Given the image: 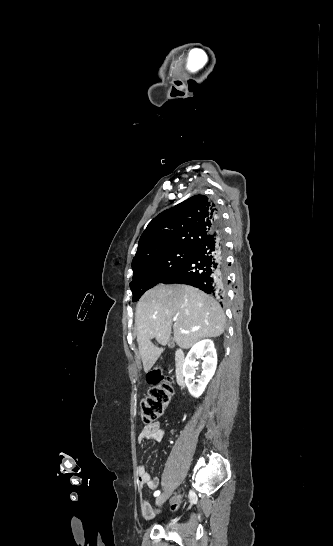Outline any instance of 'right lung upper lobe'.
<instances>
[{
  "mask_svg": "<svg viewBox=\"0 0 333 546\" xmlns=\"http://www.w3.org/2000/svg\"><path fill=\"white\" fill-rule=\"evenodd\" d=\"M216 206L205 195H195L157 215L138 243L132 269L166 250L193 247L216 226Z\"/></svg>",
  "mask_w": 333,
  "mask_h": 546,
  "instance_id": "right-lung-upper-lobe-1",
  "label": "right lung upper lobe"
}]
</instances>
